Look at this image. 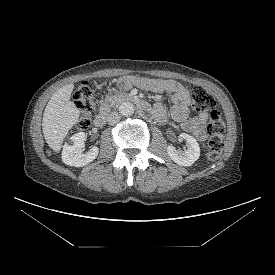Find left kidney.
<instances>
[{"label":"left kidney","mask_w":275,"mask_h":275,"mask_svg":"<svg viewBox=\"0 0 275 275\" xmlns=\"http://www.w3.org/2000/svg\"><path fill=\"white\" fill-rule=\"evenodd\" d=\"M180 137L187 142V149H176L173 145L167 147L169 157L178 165L191 166L200 156V147L197 141L189 134L182 133Z\"/></svg>","instance_id":"1"}]
</instances>
